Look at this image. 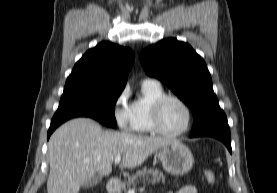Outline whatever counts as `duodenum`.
<instances>
[{"label":"duodenum","instance_id":"obj_1","mask_svg":"<svg viewBox=\"0 0 277 193\" xmlns=\"http://www.w3.org/2000/svg\"><path fill=\"white\" fill-rule=\"evenodd\" d=\"M107 190L109 193H118L120 190V182L117 179H112L108 182Z\"/></svg>","mask_w":277,"mask_h":193}]
</instances>
